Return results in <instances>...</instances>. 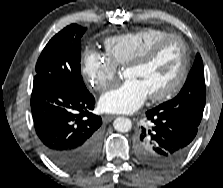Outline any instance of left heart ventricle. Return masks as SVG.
Listing matches in <instances>:
<instances>
[{"label": "left heart ventricle", "instance_id": "b2bd125f", "mask_svg": "<svg viewBox=\"0 0 223 188\" xmlns=\"http://www.w3.org/2000/svg\"><path fill=\"white\" fill-rule=\"evenodd\" d=\"M181 65V45L172 40L163 45L145 65L125 69L124 76L138 81L150 95L168 88L178 76Z\"/></svg>", "mask_w": 223, "mask_h": 188}]
</instances>
